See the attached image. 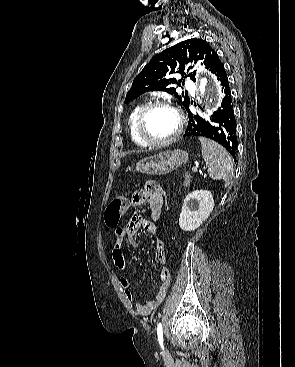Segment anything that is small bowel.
I'll return each instance as SVG.
<instances>
[{"label":"small bowel","instance_id":"c3829d8e","mask_svg":"<svg viewBox=\"0 0 295 367\" xmlns=\"http://www.w3.org/2000/svg\"><path fill=\"white\" fill-rule=\"evenodd\" d=\"M165 192L161 185L156 181H147L142 189L134 192L132 196V204L134 206H140L148 203L150 209V220H145L138 214L137 208L131 209V217L128 222L115 230V241L112 247V260L116 268L119 270H126L128 262L123 254L124 240L132 248L137 247V241L135 235L138 229L143 226L147 232H149L154 238V246L157 259L162 267L159 270V289L154 299L147 302H136V311L139 315H149L163 302L169 284H170V272L165 266L167 261L166 250L162 240L157 236L156 221L159 219L162 209V200L164 199ZM120 285L124 290L125 297L129 303L135 301L133 293L129 289V281L125 277H121Z\"/></svg>","mask_w":295,"mask_h":367}]
</instances>
